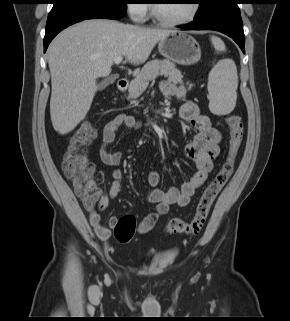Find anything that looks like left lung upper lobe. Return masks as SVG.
Returning a JSON list of instances; mask_svg holds the SVG:
<instances>
[{"label":"left lung upper lobe","instance_id":"left-lung-upper-lobe-1","mask_svg":"<svg viewBox=\"0 0 290 321\" xmlns=\"http://www.w3.org/2000/svg\"><path fill=\"white\" fill-rule=\"evenodd\" d=\"M225 0H198L199 9L196 13V17L203 16L218 7Z\"/></svg>","mask_w":290,"mask_h":321}]
</instances>
